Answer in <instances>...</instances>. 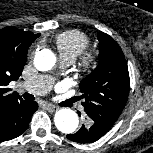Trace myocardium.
<instances>
[{"label":"myocardium","instance_id":"1","mask_svg":"<svg viewBox=\"0 0 153 153\" xmlns=\"http://www.w3.org/2000/svg\"><path fill=\"white\" fill-rule=\"evenodd\" d=\"M98 60V54L93 49L84 50L80 54L78 61L79 72L83 75H88L95 68Z\"/></svg>","mask_w":153,"mask_h":153}]
</instances>
